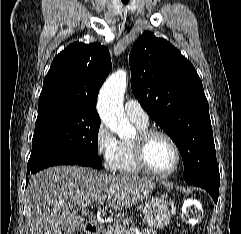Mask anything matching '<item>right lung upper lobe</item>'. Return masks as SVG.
<instances>
[{
	"label": "right lung upper lobe",
	"instance_id": "right-lung-upper-lobe-1",
	"mask_svg": "<svg viewBox=\"0 0 241 234\" xmlns=\"http://www.w3.org/2000/svg\"><path fill=\"white\" fill-rule=\"evenodd\" d=\"M111 66L108 49L99 43L70 44L54 58L38 107L67 105L97 114L96 97Z\"/></svg>",
	"mask_w": 241,
	"mask_h": 234
}]
</instances>
